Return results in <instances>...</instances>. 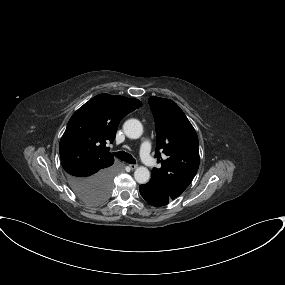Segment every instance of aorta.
Instances as JSON below:
<instances>
[{"mask_svg": "<svg viewBox=\"0 0 285 285\" xmlns=\"http://www.w3.org/2000/svg\"><path fill=\"white\" fill-rule=\"evenodd\" d=\"M125 135L131 139H138L143 133V126L137 119H129L123 125ZM135 180L140 184H145L150 179V172L144 166L138 167L134 172Z\"/></svg>", "mask_w": 285, "mask_h": 285, "instance_id": "aorta-1", "label": "aorta"}]
</instances>
